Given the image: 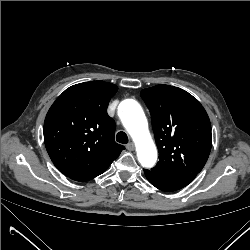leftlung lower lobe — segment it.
Here are the masks:
<instances>
[{
  "label": "left lung lower lobe",
  "instance_id": "1",
  "mask_svg": "<svg viewBox=\"0 0 250 250\" xmlns=\"http://www.w3.org/2000/svg\"><path fill=\"white\" fill-rule=\"evenodd\" d=\"M144 172L146 178L152 185L166 192L176 191L187 186L197 175L194 173L176 175L159 174L146 169Z\"/></svg>",
  "mask_w": 250,
  "mask_h": 250
}]
</instances>
